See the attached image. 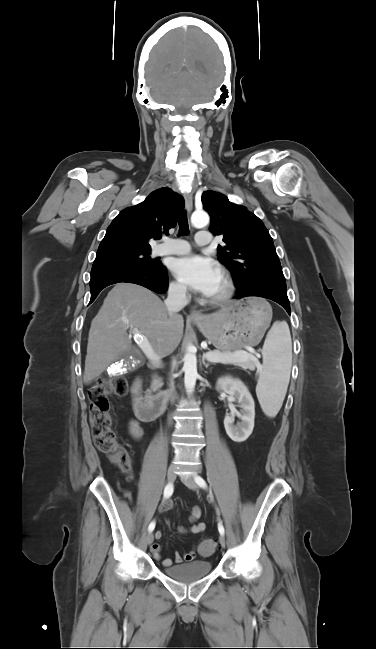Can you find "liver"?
<instances>
[{
    "instance_id": "liver-1",
    "label": "liver",
    "mask_w": 376,
    "mask_h": 649,
    "mask_svg": "<svg viewBox=\"0 0 376 649\" xmlns=\"http://www.w3.org/2000/svg\"><path fill=\"white\" fill-rule=\"evenodd\" d=\"M166 305L152 291L131 283H118L108 293L91 322L83 381L88 384L107 366L132 350L130 327L146 336L156 356L164 358L179 345L184 328L180 314H167ZM139 354L134 348L132 351Z\"/></svg>"
}]
</instances>
